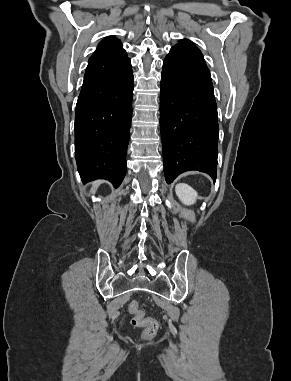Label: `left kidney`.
<instances>
[{"label":"left kidney","instance_id":"left-kidney-1","mask_svg":"<svg viewBox=\"0 0 291 381\" xmlns=\"http://www.w3.org/2000/svg\"><path fill=\"white\" fill-rule=\"evenodd\" d=\"M175 192L179 200L185 205L194 204L198 197L197 192L185 183L177 184L175 187Z\"/></svg>","mask_w":291,"mask_h":381}]
</instances>
